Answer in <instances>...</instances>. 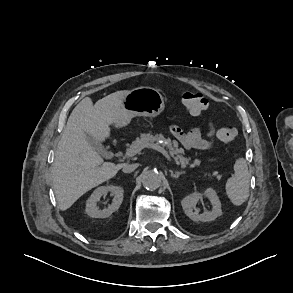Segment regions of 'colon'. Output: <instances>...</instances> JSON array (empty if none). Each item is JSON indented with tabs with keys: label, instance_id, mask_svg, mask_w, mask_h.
Returning <instances> with one entry per match:
<instances>
[{
	"label": "colon",
	"instance_id": "1",
	"mask_svg": "<svg viewBox=\"0 0 293 293\" xmlns=\"http://www.w3.org/2000/svg\"><path fill=\"white\" fill-rule=\"evenodd\" d=\"M181 102L186 110L195 116L201 115L208 108L207 99L200 93L184 92L181 95ZM238 135L234 126H225L217 132V137L224 143L233 142Z\"/></svg>",
	"mask_w": 293,
	"mask_h": 293
}]
</instances>
